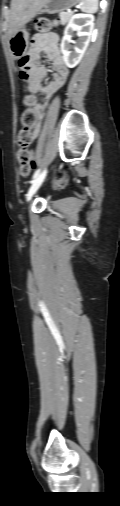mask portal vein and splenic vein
<instances>
[{"mask_svg": "<svg viewBox=\"0 0 120 506\" xmlns=\"http://www.w3.org/2000/svg\"><path fill=\"white\" fill-rule=\"evenodd\" d=\"M68 13H72V11H68Z\"/></svg>", "mask_w": 120, "mask_h": 506, "instance_id": "1", "label": "portal vein and splenic vein"}]
</instances>
